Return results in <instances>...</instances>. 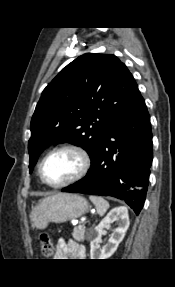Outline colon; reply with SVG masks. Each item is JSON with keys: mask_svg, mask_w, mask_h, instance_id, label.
<instances>
[{"mask_svg": "<svg viewBox=\"0 0 175 287\" xmlns=\"http://www.w3.org/2000/svg\"><path fill=\"white\" fill-rule=\"evenodd\" d=\"M40 247L41 253L44 258L49 259L54 254L53 243L47 233H41L40 235Z\"/></svg>", "mask_w": 175, "mask_h": 287, "instance_id": "obj_1", "label": "colon"}]
</instances>
